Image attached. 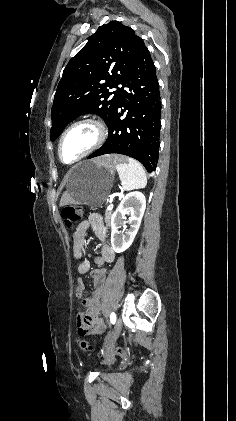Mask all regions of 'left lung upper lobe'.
<instances>
[{
    "mask_svg": "<svg viewBox=\"0 0 236 421\" xmlns=\"http://www.w3.org/2000/svg\"><path fill=\"white\" fill-rule=\"evenodd\" d=\"M143 40L118 21L98 28L69 61L58 84L51 110V140L80 115L92 113L107 124L119 104L123 88Z\"/></svg>",
    "mask_w": 236,
    "mask_h": 421,
    "instance_id": "5c2ea615",
    "label": "left lung upper lobe"
}]
</instances>
